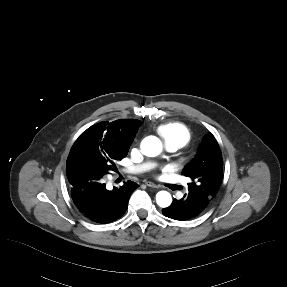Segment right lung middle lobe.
Segmentation results:
<instances>
[{"label":"right lung middle lobe","instance_id":"right-lung-middle-lobe-1","mask_svg":"<svg viewBox=\"0 0 287 287\" xmlns=\"http://www.w3.org/2000/svg\"><path fill=\"white\" fill-rule=\"evenodd\" d=\"M126 155L79 136L67 158L66 174L82 168H93L108 174L117 170L116 162Z\"/></svg>","mask_w":287,"mask_h":287}]
</instances>
